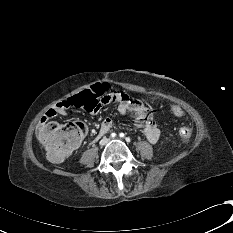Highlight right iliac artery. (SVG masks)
<instances>
[{
    "mask_svg": "<svg viewBox=\"0 0 233 233\" xmlns=\"http://www.w3.org/2000/svg\"><path fill=\"white\" fill-rule=\"evenodd\" d=\"M111 137H112V138L116 137V133H112V134H111Z\"/></svg>",
    "mask_w": 233,
    "mask_h": 233,
    "instance_id": "obj_1",
    "label": "right iliac artery"
}]
</instances>
